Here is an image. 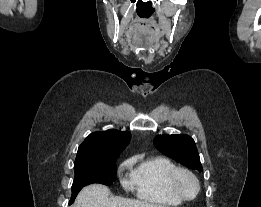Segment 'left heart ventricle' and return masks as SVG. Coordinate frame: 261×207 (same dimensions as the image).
I'll use <instances>...</instances> for the list:
<instances>
[{
	"instance_id": "obj_1",
	"label": "left heart ventricle",
	"mask_w": 261,
	"mask_h": 207,
	"mask_svg": "<svg viewBox=\"0 0 261 207\" xmlns=\"http://www.w3.org/2000/svg\"><path fill=\"white\" fill-rule=\"evenodd\" d=\"M179 187L186 196H193L196 191L195 183L191 178L181 175L179 178Z\"/></svg>"
}]
</instances>
